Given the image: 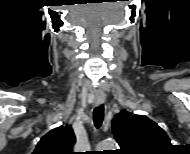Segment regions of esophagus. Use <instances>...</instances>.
Instances as JSON below:
<instances>
[{
    "label": "esophagus",
    "mask_w": 190,
    "mask_h": 154,
    "mask_svg": "<svg viewBox=\"0 0 190 154\" xmlns=\"http://www.w3.org/2000/svg\"><path fill=\"white\" fill-rule=\"evenodd\" d=\"M105 101V94L102 91H96L95 94V104L96 105H100L102 103H104Z\"/></svg>",
    "instance_id": "esophagus-1"
}]
</instances>
